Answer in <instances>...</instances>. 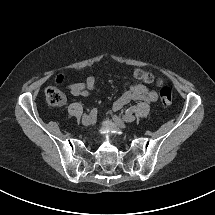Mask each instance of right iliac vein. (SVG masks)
I'll use <instances>...</instances> for the list:
<instances>
[{
    "instance_id": "63e3f726",
    "label": "right iliac vein",
    "mask_w": 215,
    "mask_h": 215,
    "mask_svg": "<svg viewBox=\"0 0 215 215\" xmlns=\"http://www.w3.org/2000/svg\"><path fill=\"white\" fill-rule=\"evenodd\" d=\"M92 121H93V116L91 115H84L81 120L82 124L85 126L90 125Z\"/></svg>"
}]
</instances>
